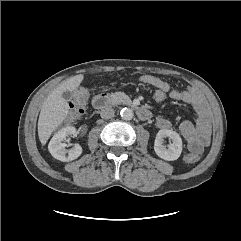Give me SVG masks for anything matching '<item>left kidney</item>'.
Wrapping results in <instances>:
<instances>
[{"mask_svg":"<svg viewBox=\"0 0 241 241\" xmlns=\"http://www.w3.org/2000/svg\"><path fill=\"white\" fill-rule=\"evenodd\" d=\"M166 137L172 140V143L168 146V148L163 145L164 138ZM154 151L160 158L164 160H177L182 152V139L180 135L173 130H159V132L156 134L154 142Z\"/></svg>","mask_w":241,"mask_h":241,"instance_id":"5707ae66","label":"left kidney"}]
</instances>
